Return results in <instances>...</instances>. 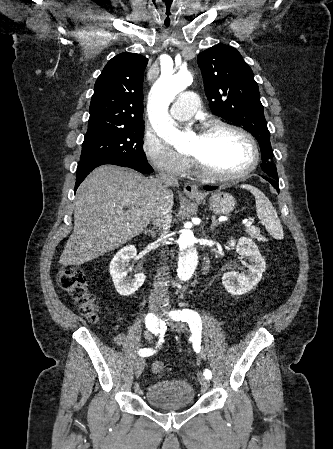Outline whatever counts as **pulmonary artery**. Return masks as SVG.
Returning a JSON list of instances; mask_svg holds the SVG:
<instances>
[{
	"label": "pulmonary artery",
	"mask_w": 333,
	"mask_h": 449,
	"mask_svg": "<svg viewBox=\"0 0 333 449\" xmlns=\"http://www.w3.org/2000/svg\"><path fill=\"white\" fill-rule=\"evenodd\" d=\"M198 107V96L193 91H185L178 95L170 108L173 118L183 121L189 119Z\"/></svg>",
	"instance_id": "1"
}]
</instances>
